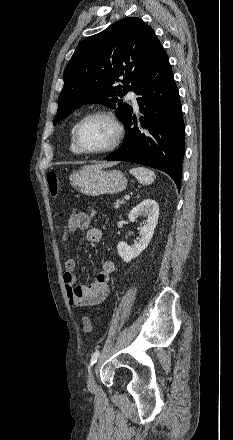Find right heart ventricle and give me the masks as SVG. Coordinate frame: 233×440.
Wrapping results in <instances>:
<instances>
[{"mask_svg": "<svg viewBox=\"0 0 233 440\" xmlns=\"http://www.w3.org/2000/svg\"><path fill=\"white\" fill-rule=\"evenodd\" d=\"M73 128H74V126L72 127L71 132H70V144H69V148H70V151H71L72 153H74V154H79V152H78V151L76 150V148L74 147V144H73V141H72Z\"/></svg>", "mask_w": 233, "mask_h": 440, "instance_id": "1", "label": "right heart ventricle"}]
</instances>
